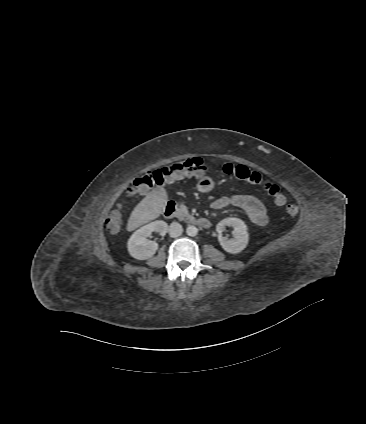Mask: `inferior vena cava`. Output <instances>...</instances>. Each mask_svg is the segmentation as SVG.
I'll list each match as a JSON object with an SVG mask.
<instances>
[{"mask_svg": "<svg viewBox=\"0 0 366 424\" xmlns=\"http://www.w3.org/2000/svg\"><path fill=\"white\" fill-rule=\"evenodd\" d=\"M183 233L182 225L177 222H172L169 226V234L171 237H178Z\"/></svg>", "mask_w": 366, "mask_h": 424, "instance_id": "obj_1", "label": "inferior vena cava"}]
</instances>
